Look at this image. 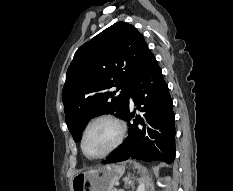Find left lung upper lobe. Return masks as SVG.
<instances>
[{"instance_id": "5c2ea615", "label": "left lung upper lobe", "mask_w": 233, "mask_h": 191, "mask_svg": "<svg viewBox=\"0 0 233 191\" xmlns=\"http://www.w3.org/2000/svg\"><path fill=\"white\" fill-rule=\"evenodd\" d=\"M150 53L142 35L126 22L113 24L77 50L62 91L65 120L76 142L92 117L124 116L130 83Z\"/></svg>"}]
</instances>
